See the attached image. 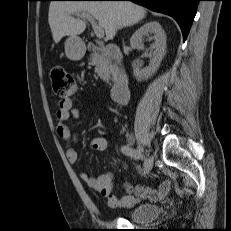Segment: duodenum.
<instances>
[{"label": "duodenum", "mask_w": 231, "mask_h": 231, "mask_svg": "<svg viewBox=\"0 0 231 231\" xmlns=\"http://www.w3.org/2000/svg\"><path fill=\"white\" fill-rule=\"evenodd\" d=\"M88 47L93 51H100L106 54L115 61L120 62L122 60L120 49L115 44L110 43L103 46L98 43H92ZM111 97L112 100L118 105L124 104L128 100L129 78L127 73L122 69H118L115 73Z\"/></svg>", "instance_id": "1"}]
</instances>
